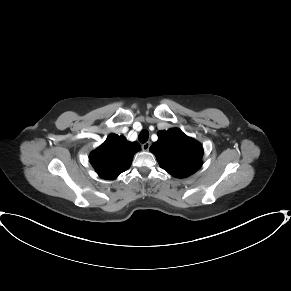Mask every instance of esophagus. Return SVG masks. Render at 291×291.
I'll return each instance as SVG.
<instances>
[{
    "label": "esophagus",
    "mask_w": 291,
    "mask_h": 291,
    "mask_svg": "<svg viewBox=\"0 0 291 291\" xmlns=\"http://www.w3.org/2000/svg\"><path fill=\"white\" fill-rule=\"evenodd\" d=\"M150 145H151L150 142H146V143L142 144V150L149 151Z\"/></svg>",
    "instance_id": "obj_1"
}]
</instances>
